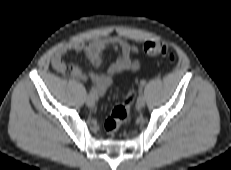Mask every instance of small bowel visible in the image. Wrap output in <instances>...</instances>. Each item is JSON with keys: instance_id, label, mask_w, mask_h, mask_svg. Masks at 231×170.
Masks as SVG:
<instances>
[{"instance_id": "1", "label": "small bowel", "mask_w": 231, "mask_h": 170, "mask_svg": "<svg viewBox=\"0 0 231 170\" xmlns=\"http://www.w3.org/2000/svg\"><path fill=\"white\" fill-rule=\"evenodd\" d=\"M113 48L119 53V57L108 68L107 74H98L94 70L84 73L79 65H72L67 69L64 56L69 52H81L89 60L93 69H98L103 61L104 53L107 49ZM138 48L127 41L117 37L110 36L103 39L90 41H74L67 45L59 47L51 59L52 67L60 72L66 73L80 81H92V92L95 96L102 97L107 89L113 84L114 78L125 72H137L140 69V63L134 58Z\"/></svg>"}]
</instances>
